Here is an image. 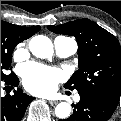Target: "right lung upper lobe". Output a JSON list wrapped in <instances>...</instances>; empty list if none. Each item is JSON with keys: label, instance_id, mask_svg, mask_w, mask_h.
Wrapping results in <instances>:
<instances>
[{"label": "right lung upper lobe", "instance_id": "cb5924a9", "mask_svg": "<svg viewBox=\"0 0 121 121\" xmlns=\"http://www.w3.org/2000/svg\"><path fill=\"white\" fill-rule=\"evenodd\" d=\"M18 27H20L21 31L26 36V39H28L29 37H31L32 35H34L35 33H37L39 31V29H40V26H34V27H22V26H18Z\"/></svg>", "mask_w": 121, "mask_h": 121}]
</instances>
